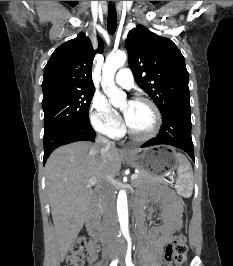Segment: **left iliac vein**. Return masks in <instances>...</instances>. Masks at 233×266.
Masks as SVG:
<instances>
[{"label": "left iliac vein", "mask_w": 233, "mask_h": 266, "mask_svg": "<svg viewBox=\"0 0 233 266\" xmlns=\"http://www.w3.org/2000/svg\"><path fill=\"white\" fill-rule=\"evenodd\" d=\"M124 246H122L121 248H120V253H121V255L123 256V254H124ZM120 264H121V266H124V262H123V258L121 257V260H120Z\"/></svg>", "instance_id": "left-iliac-vein-1"}]
</instances>
